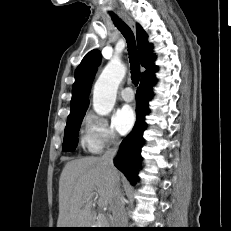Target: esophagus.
<instances>
[{
  "label": "esophagus",
  "instance_id": "34e87169",
  "mask_svg": "<svg viewBox=\"0 0 231 231\" xmlns=\"http://www.w3.org/2000/svg\"><path fill=\"white\" fill-rule=\"evenodd\" d=\"M123 19L132 27V28H135V24L134 22L132 21V19L127 16V15H123Z\"/></svg>",
  "mask_w": 231,
  "mask_h": 231
}]
</instances>
